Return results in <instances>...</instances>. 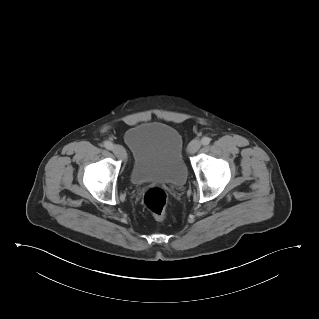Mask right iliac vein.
Masks as SVG:
<instances>
[{"instance_id": "obj_1", "label": "right iliac vein", "mask_w": 319, "mask_h": 319, "mask_svg": "<svg viewBox=\"0 0 319 319\" xmlns=\"http://www.w3.org/2000/svg\"><path fill=\"white\" fill-rule=\"evenodd\" d=\"M112 150L116 157H118L119 159H126L125 149L121 145H114Z\"/></svg>"}]
</instances>
